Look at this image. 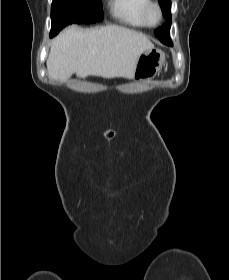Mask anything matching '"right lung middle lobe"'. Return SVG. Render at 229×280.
Returning a JSON list of instances; mask_svg holds the SVG:
<instances>
[{"label": "right lung middle lobe", "instance_id": "1", "mask_svg": "<svg viewBox=\"0 0 229 280\" xmlns=\"http://www.w3.org/2000/svg\"><path fill=\"white\" fill-rule=\"evenodd\" d=\"M103 19L101 0H53L51 36L71 23H95Z\"/></svg>", "mask_w": 229, "mask_h": 280}]
</instances>
